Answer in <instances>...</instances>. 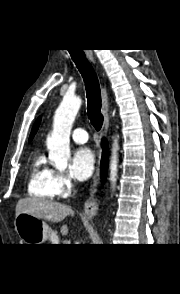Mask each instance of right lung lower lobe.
Here are the masks:
<instances>
[{
  "label": "right lung lower lobe",
  "instance_id": "right-lung-lower-lobe-1",
  "mask_svg": "<svg viewBox=\"0 0 180 294\" xmlns=\"http://www.w3.org/2000/svg\"><path fill=\"white\" fill-rule=\"evenodd\" d=\"M103 154L101 159V177L105 181L108 166V143L105 139L102 140Z\"/></svg>",
  "mask_w": 180,
  "mask_h": 294
}]
</instances>
